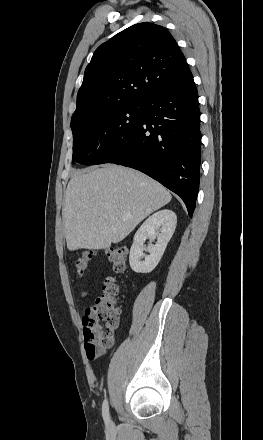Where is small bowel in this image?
<instances>
[{
  "label": "small bowel",
  "mask_w": 263,
  "mask_h": 440,
  "mask_svg": "<svg viewBox=\"0 0 263 440\" xmlns=\"http://www.w3.org/2000/svg\"><path fill=\"white\" fill-rule=\"evenodd\" d=\"M87 295H88V293H87L86 291H83V292L81 293V297H83V298H85Z\"/></svg>",
  "instance_id": "c3829d8e"
}]
</instances>
